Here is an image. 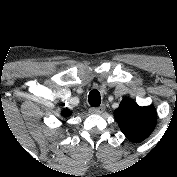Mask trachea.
<instances>
[{"label": "trachea", "instance_id": "trachea-1", "mask_svg": "<svg viewBox=\"0 0 177 177\" xmlns=\"http://www.w3.org/2000/svg\"><path fill=\"white\" fill-rule=\"evenodd\" d=\"M88 102L90 106L92 107H98L101 104V96L100 92L96 89H93L90 91L89 96H88Z\"/></svg>", "mask_w": 177, "mask_h": 177}]
</instances>
